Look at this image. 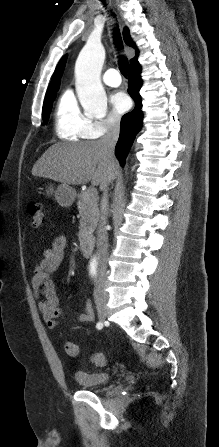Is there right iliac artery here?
Listing matches in <instances>:
<instances>
[{
	"instance_id": "1",
	"label": "right iliac artery",
	"mask_w": 219,
	"mask_h": 447,
	"mask_svg": "<svg viewBox=\"0 0 219 447\" xmlns=\"http://www.w3.org/2000/svg\"><path fill=\"white\" fill-rule=\"evenodd\" d=\"M102 326H103V324H102V323H100V322H98V323H97V325H96V327H97L98 329H101V328H102Z\"/></svg>"
}]
</instances>
